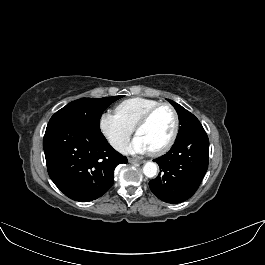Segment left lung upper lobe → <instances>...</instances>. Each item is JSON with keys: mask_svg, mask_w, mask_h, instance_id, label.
I'll return each mask as SVG.
<instances>
[{"mask_svg": "<svg viewBox=\"0 0 265 265\" xmlns=\"http://www.w3.org/2000/svg\"><path fill=\"white\" fill-rule=\"evenodd\" d=\"M168 101L173 105L179 115V123L181 126L179 127V132L176 140L187 137L193 133L204 130L199 120L191 114L189 111L184 109L181 105L176 102L169 100Z\"/></svg>", "mask_w": 265, "mask_h": 265, "instance_id": "5c2ea615", "label": "left lung upper lobe"}]
</instances>
